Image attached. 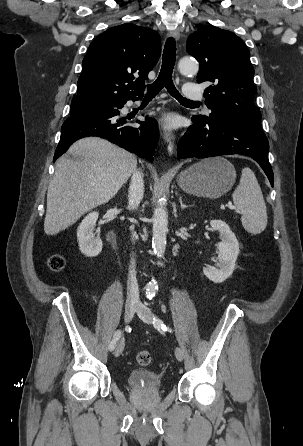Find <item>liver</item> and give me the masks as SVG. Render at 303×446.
<instances>
[{"instance_id":"6515ba94","label":"liver","mask_w":303,"mask_h":446,"mask_svg":"<svg viewBox=\"0 0 303 446\" xmlns=\"http://www.w3.org/2000/svg\"><path fill=\"white\" fill-rule=\"evenodd\" d=\"M61 157L47 193L44 232L56 235L107 203L136 170L132 153L97 137L80 139ZM76 158V159H75Z\"/></svg>"}]
</instances>
